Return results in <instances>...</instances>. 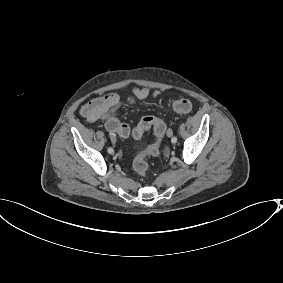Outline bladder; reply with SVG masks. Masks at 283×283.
Segmentation results:
<instances>
[{
	"instance_id": "bladder-1",
	"label": "bladder",
	"mask_w": 283,
	"mask_h": 283,
	"mask_svg": "<svg viewBox=\"0 0 283 283\" xmlns=\"http://www.w3.org/2000/svg\"><path fill=\"white\" fill-rule=\"evenodd\" d=\"M139 143H140V142H136V143H134V145H133L134 149H137V148H138Z\"/></svg>"
}]
</instances>
